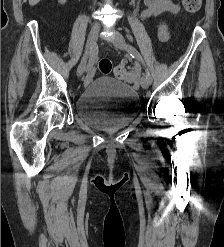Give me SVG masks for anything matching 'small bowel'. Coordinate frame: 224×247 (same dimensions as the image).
Instances as JSON below:
<instances>
[{
    "mask_svg": "<svg viewBox=\"0 0 224 247\" xmlns=\"http://www.w3.org/2000/svg\"><path fill=\"white\" fill-rule=\"evenodd\" d=\"M179 11L180 6L173 0H144V9L141 13V17L142 19H148L159 16L163 13L177 14ZM158 36L161 41L168 40L169 30L165 23L159 25ZM120 65L124 66V64Z\"/></svg>",
    "mask_w": 224,
    "mask_h": 247,
    "instance_id": "small-bowel-1",
    "label": "small bowel"
}]
</instances>
